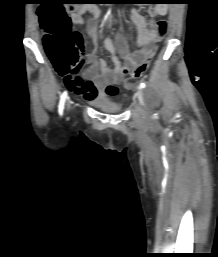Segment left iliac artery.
<instances>
[{
    "mask_svg": "<svg viewBox=\"0 0 218 257\" xmlns=\"http://www.w3.org/2000/svg\"><path fill=\"white\" fill-rule=\"evenodd\" d=\"M140 87H141V88H145V87H146V84H145L144 82H141V83H140Z\"/></svg>",
    "mask_w": 218,
    "mask_h": 257,
    "instance_id": "obj_1",
    "label": "left iliac artery"
}]
</instances>
